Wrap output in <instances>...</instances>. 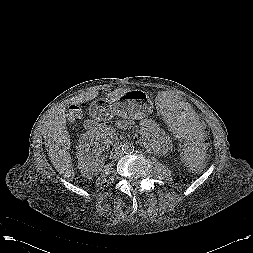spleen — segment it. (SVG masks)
I'll list each match as a JSON object with an SVG mask.
<instances>
[{
    "mask_svg": "<svg viewBox=\"0 0 253 253\" xmlns=\"http://www.w3.org/2000/svg\"><path fill=\"white\" fill-rule=\"evenodd\" d=\"M155 110L178 144L181 166L190 173L202 172L210 162L212 143L197 107L177 92H162Z\"/></svg>",
    "mask_w": 253,
    "mask_h": 253,
    "instance_id": "1",
    "label": "spleen"
}]
</instances>
